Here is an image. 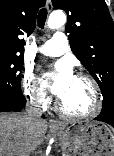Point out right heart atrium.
I'll use <instances>...</instances> for the list:
<instances>
[{
    "instance_id": "d8ad5b80",
    "label": "right heart atrium",
    "mask_w": 114,
    "mask_h": 156,
    "mask_svg": "<svg viewBox=\"0 0 114 156\" xmlns=\"http://www.w3.org/2000/svg\"><path fill=\"white\" fill-rule=\"evenodd\" d=\"M21 87L24 96L31 104L43 107L48 103V96L46 92L43 90L31 70L25 69L23 71L21 76Z\"/></svg>"
}]
</instances>
